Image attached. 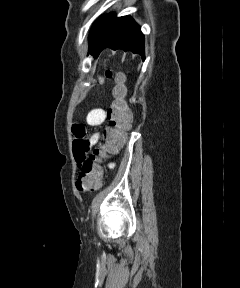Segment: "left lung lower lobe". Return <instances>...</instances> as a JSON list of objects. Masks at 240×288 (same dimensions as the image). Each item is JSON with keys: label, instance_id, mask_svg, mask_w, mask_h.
<instances>
[{"label": "left lung lower lobe", "instance_id": "0a47b994", "mask_svg": "<svg viewBox=\"0 0 240 288\" xmlns=\"http://www.w3.org/2000/svg\"><path fill=\"white\" fill-rule=\"evenodd\" d=\"M109 47L139 53L144 60V35L131 17L103 16L90 35L89 53L97 57Z\"/></svg>", "mask_w": 240, "mask_h": 288}]
</instances>
